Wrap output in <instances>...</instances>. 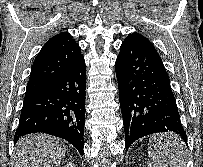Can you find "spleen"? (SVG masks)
Listing matches in <instances>:
<instances>
[{
  "mask_svg": "<svg viewBox=\"0 0 203 167\" xmlns=\"http://www.w3.org/2000/svg\"><path fill=\"white\" fill-rule=\"evenodd\" d=\"M186 150L176 135L153 136L149 141L148 167H184Z\"/></svg>",
  "mask_w": 203,
  "mask_h": 167,
  "instance_id": "obj_1",
  "label": "spleen"
}]
</instances>
